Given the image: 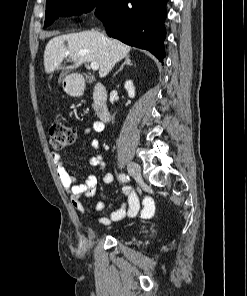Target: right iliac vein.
Returning a JSON list of instances; mask_svg holds the SVG:
<instances>
[{"label": "right iliac vein", "instance_id": "1", "mask_svg": "<svg viewBox=\"0 0 247 296\" xmlns=\"http://www.w3.org/2000/svg\"><path fill=\"white\" fill-rule=\"evenodd\" d=\"M127 170L129 174L135 178L137 181L141 182L142 181V176H141V169L140 166L132 161H129L127 163Z\"/></svg>", "mask_w": 247, "mask_h": 296}]
</instances>
